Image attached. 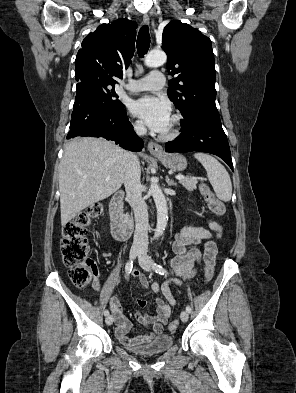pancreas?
Wrapping results in <instances>:
<instances>
[{
	"mask_svg": "<svg viewBox=\"0 0 296 393\" xmlns=\"http://www.w3.org/2000/svg\"><path fill=\"white\" fill-rule=\"evenodd\" d=\"M179 183L182 184L188 191H193L194 189H196L198 178L186 177L185 179L179 180Z\"/></svg>",
	"mask_w": 296,
	"mask_h": 393,
	"instance_id": "obj_1",
	"label": "pancreas"
}]
</instances>
